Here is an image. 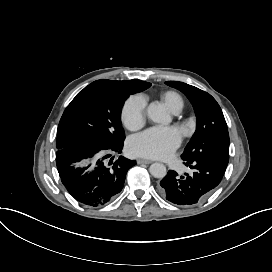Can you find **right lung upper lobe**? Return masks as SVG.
I'll use <instances>...</instances> for the list:
<instances>
[{"label":"right lung upper lobe","mask_w":272,"mask_h":272,"mask_svg":"<svg viewBox=\"0 0 272 272\" xmlns=\"http://www.w3.org/2000/svg\"><path fill=\"white\" fill-rule=\"evenodd\" d=\"M128 81H115V80L101 79V80L94 81L93 84H113V85H120V84H125Z\"/></svg>","instance_id":"cb5924a9"}]
</instances>
